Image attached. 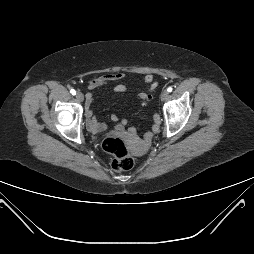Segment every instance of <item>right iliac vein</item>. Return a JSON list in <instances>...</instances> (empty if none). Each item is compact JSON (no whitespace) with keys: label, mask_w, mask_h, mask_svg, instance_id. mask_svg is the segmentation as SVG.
I'll return each mask as SVG.
<instances>
[{"label":"right iliac vein","mask_w":254,"mask_h":254,"mask_svg":"<svg viewBox=\"0 0 254 254\" xmlns=\"http://www.w3.org/2000/svg\"><path fill=\"white\" fill-rule=\"evenodd\" d=\"M76 98L78 101L82 102L84 100V95L81 92H78Z\"/></svg>","instance_id":"1"}]
</instances>
